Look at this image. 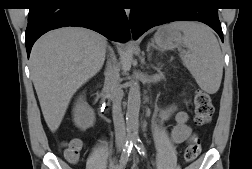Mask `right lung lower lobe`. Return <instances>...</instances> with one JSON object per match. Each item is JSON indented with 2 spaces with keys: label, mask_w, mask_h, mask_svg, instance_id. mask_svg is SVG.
<instances>
[{
  "label": "right lung lower lobe",
  "mask_w": 252,
  "mask_h": 169,
  "mask_svg": "<svg viewBox=\"0 0 252 169\" xmlns=\"http://www.w3.org/2000/svg\"><path fill=\"white\" fill-rule=\"evenodd\" d=\"M65 26L86 27L118 42L130 39L128 19L120 0H35L25 33L28 57L41 35Z\"/></svg>",
  "instance_id": "1"
}]
</instances>
